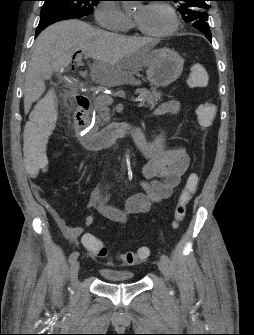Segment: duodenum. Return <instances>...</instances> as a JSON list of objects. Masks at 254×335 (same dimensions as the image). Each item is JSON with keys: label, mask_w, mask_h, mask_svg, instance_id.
Returning a JSON list of instances; mask_svg holds the SVG:
<instances>
[{"label": "duodenum", "mask_w": 254, "mask_h": 335, "mask_svg": "<svg viewBox=\"0 0 254 335\" xmlns=\"http://www.w3.org/2000/svg\"><path fill=\"white\" fill-rule=\"evenodd\" d=\"M76 110L74 114L75 131L80 143L87 149L98 150L110 147L118 138L130 136L133 141L144 138L137 126L113 123L100 131L92 130L89 122L91 101L85 94L75 96Z\"/></svg>", "instance_id": "410a0bca"}]
</instances>
